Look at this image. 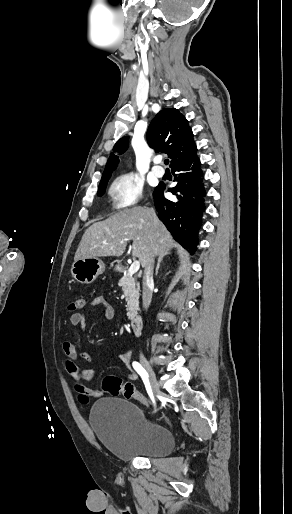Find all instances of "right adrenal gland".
Masks as SVG:
<instances>
[{
	"instance_id": "2a0ac1e0",
	"label": "right adrenal gland",
	"mask_w": 292,
	"mask_h": 514,
	"mask_svg": "<svg viewBox=\"0 0 292 514\" xmlns=\"http://www.w3.org/2000/svg\"><path fill=\"white\" fill-rule=\"evenodd\" d=\"M162 260H163V256H159V258H158V262H157V268H156V274H155V276H158V270H159V268H160V264H161Z\"/></svg>"
}]
</instances>
